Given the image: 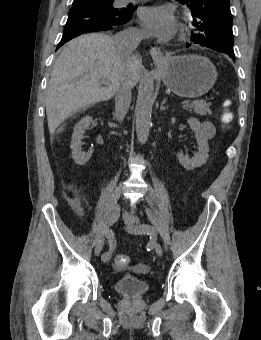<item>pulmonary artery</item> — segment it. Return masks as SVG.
I'll use <instances>...</instances> for the list:
<instances>
[{
    "label": "pulmonary artery",
    "instance_id": "pulmonary-artery-1",
    "mask_svg": "<svg viewBox=\"0 0 261 340\" xmlns=\"http://www.w3.org/2000/svg\"><path fill=\"white\" fill-rule=\"evenodd\" d=\"M123 2H129V1H132V0H122Z\"/></svg>",
    "mask_w": 261,
    "mask_h": 340
}]
</instances>
